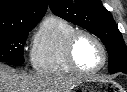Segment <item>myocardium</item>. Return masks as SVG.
<instances>
[{
    "label": "myocardium",
    "instance_id": "f54148a6",
    "mask_svg": "<svg viewBox=\"0 0 127 92\" xmlns=\"http://www.w3.org/2000/svg\"><path fill=\"white\" fill-rule=\"evenodd\" d=\"M81 36H88L91 38L99 47L101 54H102V62L99 67L93 69V70H85L78 66L75 55H74V49L75 44L79 37ZM65 58L67 61V64L72 69V71L79 73V74H94L100 72L107 63V51L102 43V41L91 31L85 30V29H75L67 38L65 43Z\"/></svg>",
    "mask_w": 127,
    "mask_h": 92
}]
</instances>
